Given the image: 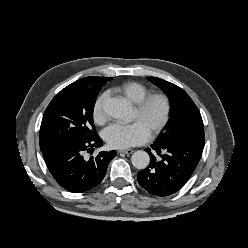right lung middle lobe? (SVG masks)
<instances>
[{"label": "right lung middle lobe", "instance_id": "right-lung-middle-lobe-1", "mask_svg": "<svg viewBox=\"0 0 248 248\" xmlns=\"http://www.w3.org/2000/svg\"><path fill=\"white\" fill-rule=\"evenodd\" d=\"M102 86L93 89L67 86L46 108L40 127V150L72 138L90 139L97 134L93 109Z\"/></svg>", "mask_w": 248, "mask_h": 248}]
</instances>
